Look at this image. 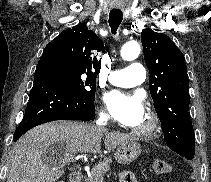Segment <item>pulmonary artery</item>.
Instances as JSON below:
<instances>
[{
	"instance_id": "e3ab8cb5",
	"label": "pulmonary artery",
	"mask_w": 211,
	"mask_h": 182,
	"mask_svg": "<svg viewBox=\"0 0 211 182\" xmlns=\"http://www.w3.org/2000/svg\"><path fill=\"white\" fill-rule=\"evenodd\" d=\"M145 73L142 64L132 63L125 69L112 71L109 75V82L119 87H132L144 82Z\"/></svg>"
}]
</instances>
